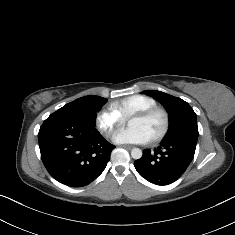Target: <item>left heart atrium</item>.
<instances>
[{"label":"left heart atrium","instance_id":"39dd6f15","mask_svg":"<svg viewBox=\"0 0 235 235\" xmlns=\"http://www.w3.org/2000/svg\"><path fill=\"white\" fill-rule=\"evenodd\" d=\"M112 141L117 144H146L149 138L141 129L128 128L116 131L112 135Z\"/></svg>","mask_w":235,"mask_h":235}]
</instances>
